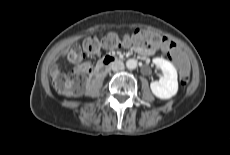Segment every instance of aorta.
<instances>
[{"label":"aorta","mask_w":230,"mask_h":155,"mask_svg":"<svg viewBox=\"0 0 230 155\" xmlns=\"http://www.w3.org/2000/svg\"><path fill=\"white\" fill-rule=\"evenodd\" d=\"M126 67L130 70H133L137 67V60L135 59H129L126 62Z\"/></svg>","instance_id":"1"}]
</instances>
